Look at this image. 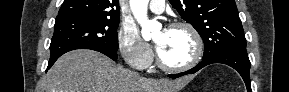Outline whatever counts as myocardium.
I'll use <instances>...</instances> for the list:
<instances>
[{
  "instance_id": "myocardium-1",
  "label": "myocardium",
  "mask_w": 289,
  "mask_h": 92,
  "mask_svg": "<svg viewBox=\"0 0 289 92\" xmlns=\"http://www.w3.org/2000/svg\"><path fill=\"white\" fill-rule=\"evenodd\" d=\"M171 29H184L189 32L195 44V53L192 59L184 65H169L157 54L158 66L168 72H184L194 68L202 59L204 54V42L198 30L190 23L184 21L174 22Z\"/></svg>"
}]
</instances>
